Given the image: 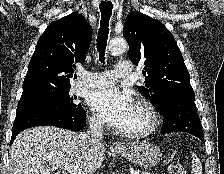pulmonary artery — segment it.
Here are the masks:
<instances>
[{
	"label": "pulmonary artery",
	"instance_id": "1",
	"mask_svg": "<svg viewBox=\"0 0 224 174\" xmlns=\"http://www.w3.org/2000/svg\"><path fill=\"white\" fill-rule=\"evenodd\" d=\"M133 67L130 62L120 61L114 70L90 73L81 71L79 73L80 81L77 82V89L102 88L112 85L118 78L131 76Z\"/></svg>",
	"mask_w": 224,
	"mask_h": 174
}]
</instances>
